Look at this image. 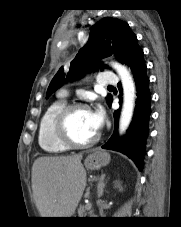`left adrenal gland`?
<instances>
[{
	"label": "left adrenal gland",
	"mask_w": 181,
	"mask_h": 227,
	"mask_svg": "<svg viewBox=\"0 0 181 227\" xmlns=\"http://www.w3.org/2000/svg\"><path fill=\"white\" fill-rule=\"evenodd\" d=\"M104 179H105V174H102L101 177H100V180L98 182V185H97L98 198H100L103 195V190H104V187H105Z\"/></svg>",
	"instance_id": "a2214340"
}]
</instances>
